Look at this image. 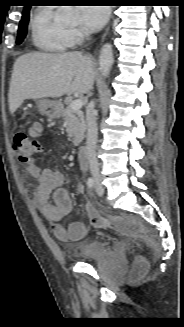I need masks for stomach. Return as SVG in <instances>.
Returning a JSON list of instances; mask_svg holds the SVG:
<instances>
[{"mask_svg": "<svg viewBox=\"0 0 184 327\" xmlns=\"http://www.w3.org/2000/svg\"><path fill=\"white\" fill-rule=\"evenodd\" d=\"M39 111L49 117L57 118L61 114V104L55 100L41 99L38 101Z\"/></svg>", "mask_w": 184, "mask_h": 327, "instance_id": "1", "label": "stomach"}]
</instances>
